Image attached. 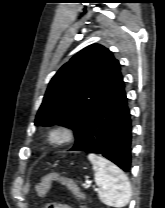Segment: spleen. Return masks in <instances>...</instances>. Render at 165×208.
Segmentation results:
<instances>
[{"label":"spleen","instance_id":"3e777b00","mask_svg":"<svg viewBox=\"0 0 165 208\" xmlns=\"http://www.w3.org/2000/svg\"><path fill=\"white\" fill-rule=\"evenodd\" d=\"M88 159L93 164L95 182L99 186L100 200L108 205L121 208L130 201L132 190L123 171L107 159L90 154Z\"/></svg>","mask_w":165,"mask_h":208}]
</instances>
